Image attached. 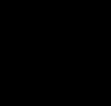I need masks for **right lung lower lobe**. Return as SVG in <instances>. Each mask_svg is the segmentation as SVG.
Segmentation results:
<instances>
[{"label":"right lung lower lobe","mask_w":111,"mask_h":106,"mask_svg":"<svg viewBox=\"0 0 111 106\" xmlns=\"http://www.w3.org/2000/svg\"><path fill=\"white\" fill-rule=\"evenodd\" d=\"M50 0L0 1V74H20L54 22Z\"/></svg>","instance_id":"98d812e1"}]
</instances>
